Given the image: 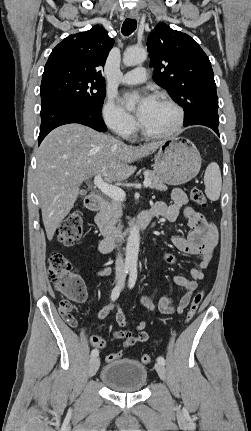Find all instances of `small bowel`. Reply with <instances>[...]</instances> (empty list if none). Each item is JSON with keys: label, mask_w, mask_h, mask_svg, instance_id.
I'll list each match as a JSON object with an SVG mask.
<instances>
[{"label": "small bowel", "mask_w": 251, "mask_h": 431, "mask_svg": "<svg viewBox=\"0 0 251 431\" xmlns=\"http://www.w3.org/2000/svg\"><path fill=\"white\" fill-rule=\"evenodd\" d=\"M148 211L170 222L176 221L180 212L183 211L188 225L191 228L187 236H174L171 239L172 244L181 252L197 255L199 257L198 264L191 269L190 278L180 275L173 276L174 283L185 289V293L178 304L175 306L174 300L169 296H163L157 305H155L149 297L143 296L140 298V303L151 312H157L161 315L173 313L181 314L190 303L198 287V281L204 278V269L214 258L218 242V233L212 222L202 213L188 205V198L181 189L173 190L171 204L158 201ZM165 260L169 263H173L175 258L171 254H165ZM110 273L111 267L106 265L95 273V277L107 276ZM114 310H116V321L120 326V329L113 332L114 339L122 340L125 347H130L148 340L149 335L145 330L147 326L146 321H140L133 325L130 324L124 313L120 310V307L115 303L104 306L98 312L97 319H105L109 313Z\"/></svg>", "instance_id": "small-bowel-1"}]
</instances>
